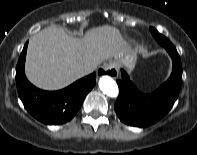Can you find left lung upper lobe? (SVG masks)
<instances>
[{"label":"left lung upper lobe","mask_w":197,"mask_h":155,"mask_svg":"<svg viewBox=\"0 0 197 155\" xmlns=\"http://www.w3.org/2000/svg\"><path fill=\"white\" fill-rule=\"evenodd\" d=\"M150 31L161 46L165 48L174 47L173 44L165 36L160 34L156 29L150 28Z\"/></svg>","instance_id":"5c2ea615"}]
</instances>
